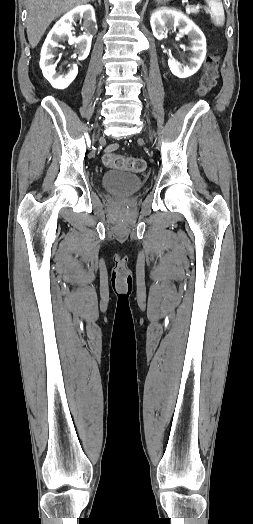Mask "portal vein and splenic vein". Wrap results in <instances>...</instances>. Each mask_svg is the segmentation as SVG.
Here are the masks:
<instances>
[{
	"label": "portal vein and splenic vein",
	"mask_w": 253,
	"mask_h": 524,
	"mask_svg": "<svg viewBox=\"0 0 253 524\" xmlns=\"http://www.w3.org/2000/svg\"><path fill=\"white\" fill-rule=\"evenodd\" d=\"M186 12L189 14L191 12H197V8L196 7H190L189 5H186ZM206 12H208V10H206Z\"/></svg>",
	"instance_id": "portal-vein-and-splenic-vein-1"
}]
</instances>
